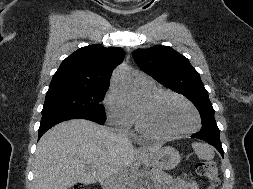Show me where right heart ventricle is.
Wrapping results in <instances>:
<instances>
[{
	"label": "right heart ventricle",
	"instance_id": "e07e8e85",
	"mask_svg": "<svg viewBox=\"0 0 253 189\" xmlns=\"http://www.w3.org/2000/svg\"><path fill=\"white\" fill-rule=\"evenodd\" d=\"M139 91L146 100L148 98H150L151 96L155 95L156 93L160 92V90L155 86L152 88H140L139 87ZM133 113H134V117H135V122H137L138 112H133Z\"/></svg>",
	"mask_w": 253,
	"mask_h": 189
}]
</instances>
